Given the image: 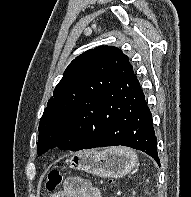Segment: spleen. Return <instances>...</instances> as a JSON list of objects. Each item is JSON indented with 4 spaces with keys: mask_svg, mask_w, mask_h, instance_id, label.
I'll list each match as a JSON object with an SVG mask.
<instances>
[{
    "mask_svg": "<svg viewBox=\"0 0 191 197\" xmlns=\"http://www.w3.org/2000/svg\"><path fill=\"white\" fill-rule=\"evenodd\" d=\"M117 151L120 152L121 154L129 156L132 161H135V162L137 161V155L135 154L133 150L129 148L121 147V148H117Z\"/></svg>",
    "mask_w": 191,
    "mask_h": 197,
    "instance_id": "spleen-1",
    "label": "spleen"
}]
</instances>
